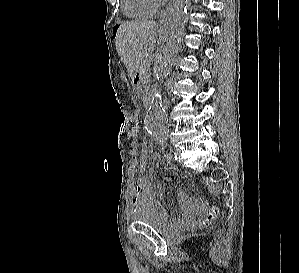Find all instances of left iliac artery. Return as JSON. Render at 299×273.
<instances>
[{
  "label": "left iliac artery",
  "instance_id": "44dca946",
  "mask_svg": "<svg viewBox=\"0 0 299 273\" xmlns=\"http://www.w3.org/2000/svg\"><path fill=\"white\" fill-rule=\"evenodd\" d=\"M169 155H170V157H171V158H173V159L177 160V155H176V153H175V152H173V151H172V152H170V154H169Z\"/></svg>",
  "mask_w": 299,
  "mask_h": 273
}]
</instances>
